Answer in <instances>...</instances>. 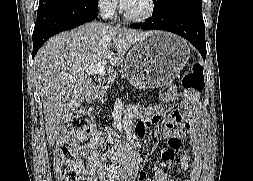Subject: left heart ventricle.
Returning a JSON list of instances; mask_svg holds the SVG:
<instances>
[{
	"label": "left heart ventricle",
	"instance_id": "1",
	"mask_svg": "<svg viewBox=\"0 0 253 181\" xmlns=\"http://www.w3.org/2000/svg\"><path fill=\"white\" fill-rule=\"evenodd\" d=\"M147 8L148 0H133L126 11L134 15H141L146 12Z\"/></svg>",
	"mask_w": 253,
	"mask_h": 181
}]
</instances>
